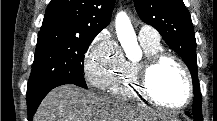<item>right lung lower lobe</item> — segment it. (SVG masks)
Returning a JSON list of instances; mask_svg holds the SVG:
<instances>
[{"label": "right lung lower lobe", "instance_id": "right-lung-lower-lobe-1", "mask_svg": "<svg viewBox=\"0 0 217 121\" xmlns=\"http://www.w3.org/2000/svg\"><path fill=\"white\" fill-rule=\"evenodd\" d=\"M64 84H74L72 81L67 79H54L44 82L32 89L27 90V111H28V121L32 120L38 106L40 105L43 98L47 93L53 88L64 85Z\"/></svg>", "mask_w": 217, "mask_h": 121}]
</instances>
